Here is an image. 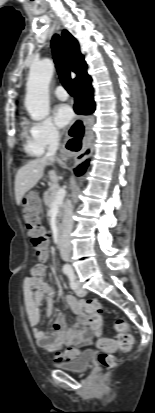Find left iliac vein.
Instances as JSON below:
<instances>
[{
  "instance_id": "obj_1",
  "label": "left iliac vein",
  "mask_w": 155,
  "mask_h": 413,
  "mask_svg": "<svg viewBox=\"0 0 155 413\" xmlns=\"http://www.w3.org/2000/svg\"><path fill=\"white\" fill-rule=\"evenodd\" d=\"M76 294L79 297H84L86 295V290L82 288L81 284L77 282Z\"/></svg>"
}]
</instances>
